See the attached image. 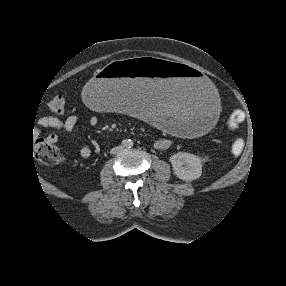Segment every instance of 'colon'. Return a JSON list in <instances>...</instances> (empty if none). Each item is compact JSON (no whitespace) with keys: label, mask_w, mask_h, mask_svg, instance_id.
<instances>
[{"label":"colon","mask_w":286,"mask_h":286,"mask_svg":"<svg viewBox=\"0 0 286 286\" xmlns=\"http://www.w3.org/2000/svg\"><path fill=\"white\" fill-rule=\"evenodd\" d=\"M66 100L64 96L57 95L47 103V109L56 115L64 112ZM245 120L244 111L237 109L234 110L228 120V129L236 131ZM244 148V142L241 139H236L231 147L232 153L238 155ZM35 153L39 161L42 163H54L60 160L61 154L53 141L48 138H39L35 142Z\"/></svg>","instance_id":"1"}]
</instances>
